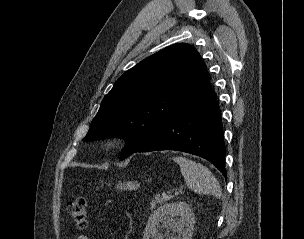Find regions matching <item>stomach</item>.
I'll return each mask as SVG.
<instances>
[{
	"instance_id": "obj_1",
	"label": "stomach",
	"mask_w": 304,
	"mask_h": 239,
	"mask_svg": "<svg viewBox=\"0 0 304 239\" xmlns=\"http://www.w3.org/2000/svg\"><path fill=\"white\" fill-rule=\"evenodd\" d=\"M139 186H140V184L138 182L128 181V182L119 183L117 185V189L136 190L139 188Z\"/></svg>"
}]
</instances>
